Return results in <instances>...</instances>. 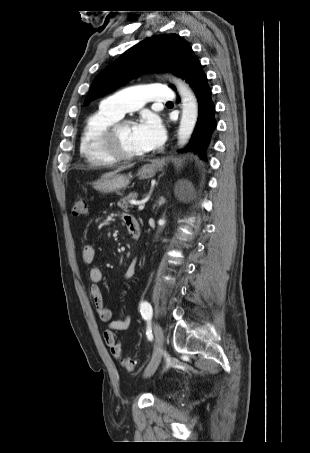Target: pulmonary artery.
<instances>
[{
    "label": "pulmonary artery",
    "instance_id": "obj_1",
    "mask_svg": "<svg viewBox=\"0 0 310 453\" xmlns=\"http://www.w3.org/2000/svg\"><path fill=\"white\" fill-rule=\"evenodd\" d=\"M174 93L166 85L151 84L120 90L102 102V106L119 116L139 110L148 101H170Z\"/></svg>",
    "mask_w": 310,
    "mask_h": 453
}]
</instances>
